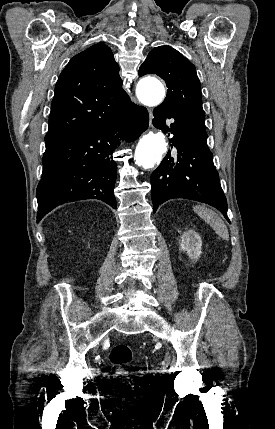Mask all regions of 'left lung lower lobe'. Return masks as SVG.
Wrapping results in <instances>:
<instances>
[{"label":"left lung lower lobe","mask_w":275,"mask_h":429,"mask_svg":"<svg viewBox=\"0 0 275 429\" xmlns=\"http://www.w3.org/2000/svg\"><path fill=\"white\" fill-rule=\"evenodd\" d=\"M153 125L163 133L171 132V148L151 175V197L156 212L159 205L174 198H185L214 206L227 217V201L221 188L213 154L207 146L205 128L179 116L167 107L154 109ZM173 123L166 125V119Z\"/></svg>","instance_id":"left-lung-lower-lobe-1"}]
</instances>
